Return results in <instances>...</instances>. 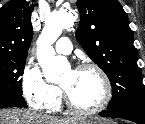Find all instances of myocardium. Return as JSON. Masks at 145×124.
I'll return each instance as SVG.
<instances>
[{
	"mask_svg": "<svg viewBox=\"0 0 145 124\" xmlns=\"http://www.w3.org/2000/svg\"><path fill=\"white\" fill-rule=\"evenodd\" d=\"M86 70H94L96 71L102 79L104 85V96L99 104L92 108H82L77 106L73 100L71 99L70 95L66 91V89L60 85L62 96L64 102L69 110H71L75 114L79 115H93L103 111L110 103L112 99V83L108 76V74L104 71L102 67L95 63H82L78 65L74 71H86Z\"/></svg>",
	"mask_w": 145,
	"mask_h": 124,
	"instance_id": "obj_1",
	"label": "myocardium"
}]
</instances>
